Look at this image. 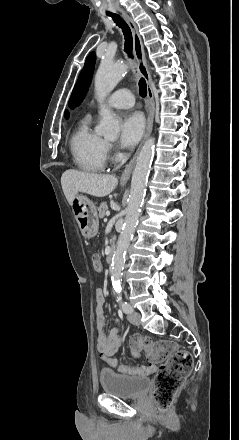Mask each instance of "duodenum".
I'll list each match as a JSON object with an SVG mask.
<instances>
[{"label": "duodenum", "mask_w": 239, "mask_h": 440, "mask_svg": "<svg viewBox=\"0 0 239 440\" xmlns=\"http://www.w3.org/2000/svg\"><path fill=\"white\" fill-rule=\"evenodd\" d=\"M114 252H115V247L112 246L107 253V261L108 262H110L112 260Z\"/></svg>", "instance_id": "1"}]
</instances>
